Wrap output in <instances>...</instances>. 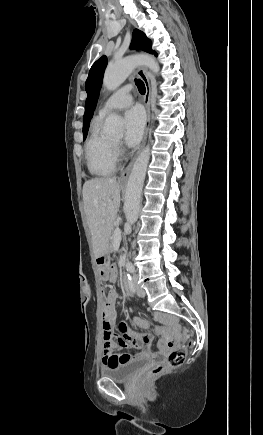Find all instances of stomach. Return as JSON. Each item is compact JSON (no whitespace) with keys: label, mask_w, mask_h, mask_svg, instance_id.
<instances>
[{"label":"stomach","mask_w":263,"mask_h":435,"mask_svg":"<svg viewBox=\"0 0 263 435\" xmlns=\"http://www.w3.org/2000/svg\"><path fill=\"white\" fill-rule=\"evenodd\" d=\"M96 261H97L98 274L100 275L101 278H105L107 274V267L109 266V262H110L108 252L106 251L104 254L96 257Z\"/></svg>","instance_id":"obj_1"}]
</instances>
